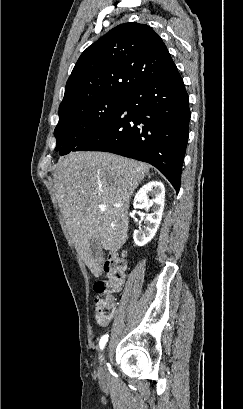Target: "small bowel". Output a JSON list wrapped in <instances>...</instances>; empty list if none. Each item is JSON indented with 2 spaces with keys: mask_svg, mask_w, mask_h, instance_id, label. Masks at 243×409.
Listing matches in <instances>:
<instances>
[{
  "mask_svg": "<svg viewBox=\"0 0 243 409\" xmlns=\"http://www.w3.org/2000/svg\"><path fill=\"white\" fill-rule=\"evenodd\" d=\"M115 313H116V310L114 311V316H115ZM114 316H113V317H114Z\"/></svg>",
  "mask_w": 243,
  "mask_h": 409,
  "instance_id": "small-bowel-1",
  "label": "small bowel"
}]
</instances>
